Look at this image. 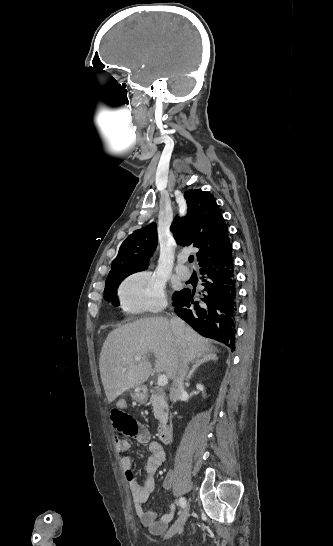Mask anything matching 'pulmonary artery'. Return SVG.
<instances>
[{"mask_svg": "<svg viewBox=\"0 0 333 546\" xmlns=\"http://www.w3.org/2000/svg\"><path fill=\"white\" fill-rule=\"evenodd\" d=\"M185 262L186 258L180 257L175 267L176 274L183 280H187L191 277V271L187 266L184 265Z\"/></svg>", "mask_w": 333, "mask_h": 546, "instance_id": "1", "label": "pulmonary artery"}]
</instances>
